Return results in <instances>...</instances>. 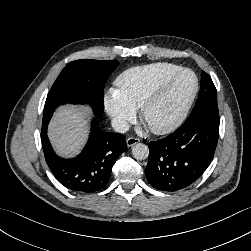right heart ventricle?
Instances as JSON below:
<instances>
[{
  "instance_id": "obj_1",
  "label": "right heart ventricle",
  "mask_w": 251,
  "mask_h": 251,
  "mask_svg": "<svg viewBox=\"0 0 251 251\" xmlns=\"http://www.w3.org/2000/svg\"><path fill=\"white\" fill-rule=\"evenodd\" d=\"M182 67L168 62L136 66L123 71L115 80L116 92L134 110L140 108L151 90L165 77Z\"/></svg>"
}]
</instances>
